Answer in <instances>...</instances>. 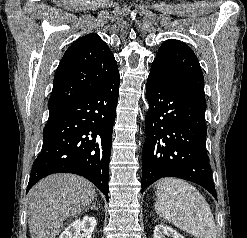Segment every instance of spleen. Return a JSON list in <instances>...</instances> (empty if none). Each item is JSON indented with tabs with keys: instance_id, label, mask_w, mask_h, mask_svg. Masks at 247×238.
Masks as SVG:
<instances>
[{
	"instance_id": "obj_1",
	"label": "spleen",
	"mask_w": 247,
	"mask_h": 238,
	"mask_svg": "<svg viewBox=\"0 0 247 238\" xmlns=\"http://www.w3.org/2000/svg\"><path fill=\"white\" fill-rule=\"evenodd\" d=\"M156 213L174 226L198 238H216L210 206L191 184L177 178H163L156 184Z\"/></svg>"
}]
</instances>
